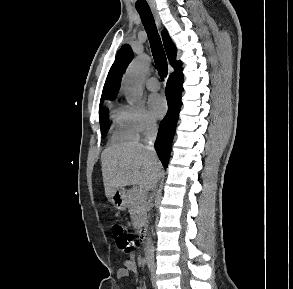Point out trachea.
<instances>
[{
    "label": "trachea",
    "instance_id": "3493384b",
    "mask_svg": "<svg viewBox=\"0 0 293 289\" xmlns=\"http://www.w3.org/2000/svg\"><path fill=\"white\" fill-rule=\"evenodd\" d=\"M150 42L153 58L160 77L167 76V59L150 8L137 9Z\"/></svg>",
    "mask_w": 293,
    "mask_h": 289
}]
</instances>
